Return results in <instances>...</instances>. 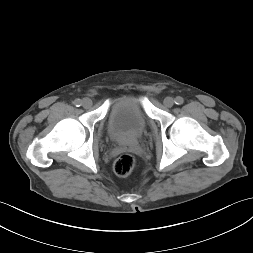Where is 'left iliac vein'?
<instances>
[{
  "mask_svg": "<svg viewBox=\"0 0 253 253\" xmlns=\"http://www.w3.org/2000/svg\"><path fill=\"white\" fill-rule=\"evenodd\" d=\"M163 103H164V105L166 106V107H172L173 105H174V103H175V100L172 98V97H166L165 99H164V101H163Z\"/></svg>",
  "mask_w": 253,
  "mask_h": 253,
  "instance_id": "1",
  "label": "left iliac vein"
}]
</instances>
